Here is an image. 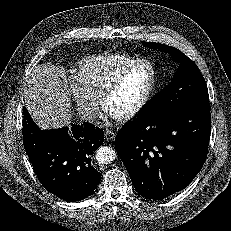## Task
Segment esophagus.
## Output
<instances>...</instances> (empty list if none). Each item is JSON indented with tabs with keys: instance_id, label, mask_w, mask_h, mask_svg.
<instances>
[{
	"instance_id": "esophagus-1",
	"label": "esophagus",
	"mask_w": 231,
	"mask_h": 231,
	"mask_svg": "<svg viewBox=\"0 0 231 231\" xmlns=\"http://www.w3.org/2000/svg\"><path fill=\"white\" fill-rule=\"evenodd\" d=\"M115 132L113 130H106L105 131V139L107 141H113L115 138Z\"/></svg>"
}]
</instances>
